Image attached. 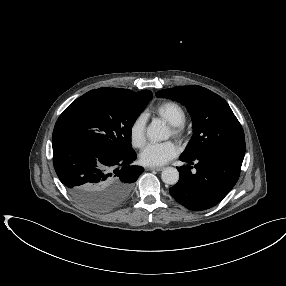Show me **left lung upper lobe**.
I'll return each instance as SVG.
<instances>
[{
	"instance_id": "1",
	"label": "left lung upper lobe",
	"mask_w": 286,
	"mask_h": 286,
	"mask_svg": "<svg viewBox=\"0 0 286 286\" xmlns=\"http://www.w3.org/2000/svg\"><path fill=\"white\" fill-rule=\"evenodd\" d=\"M156 96L181 103L191 115L193 136L182 156L194 158L218 151L244 157L243 129L222 97L198 85L163 89Z\"/></svg>"
}]
</instances>
